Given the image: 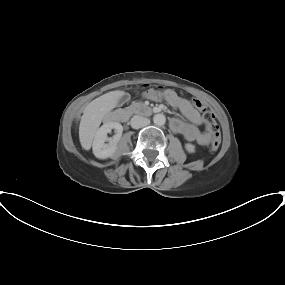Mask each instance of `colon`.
<instances>
[{
	"label": "colon",
	"mask_w": 285,
	"mask_h": 285,
	"mask_svg": "<svg viewBox=\"0 0 285 285\" xmlns=\"http://www.w3.org/2000/svg\"><path fill=\"white\" fill-rule=\"evenodd\" d=\"M192 103L202 113L203 120L209 132L211 147L216 150L221 143V133L214 113L202 100L198 98H193Z\"/></svg>",
	"instance_id": "1"
}]
</instances>
